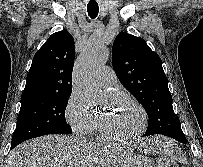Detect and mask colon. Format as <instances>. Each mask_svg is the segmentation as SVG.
Here are the masks:
<instances>
[{"label": "colon", "instance_id": "5ec220e1", "mask_svg": "<svg viewBox=\"0 0 203 167\" xmlns=\"http://www.w3.org/2000/svg\"><path fill=\"white\" fill-rule=\"evenodd\" d=\"M157 167H179L178 164L170 160L168 157L160 156L157 160Z\"/></svg>", "mask_w": 203, "mask_h": 167}]
</instances>
